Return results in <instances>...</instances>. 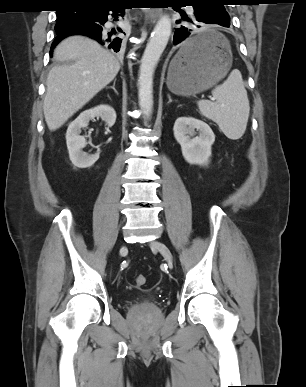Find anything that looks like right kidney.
<instances>
[{
	"mask_svg": "<svg viewBox=\"0 0 306 387\" xmlns=\"http://www.w3.org/2000/svg\"><path fill=\"white\" fill-rule=\"evenodd\" d=\"M100 117L109 127L116 121V112L109 105H99L82 112L73 122L70 123L66 132V143L69 151V158L72 164L78 168L91 167L98 159L99 153L87 154L82 151L86 146L84 136H81V129L88 126L89 121Z\"/></svg>",
	"mask_w": 306,
	"mask_h": 387,
	"instance_id": "right-kidney-1",
	"label": "right kidney"
}]
</instances>
